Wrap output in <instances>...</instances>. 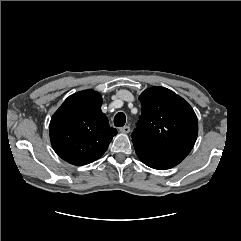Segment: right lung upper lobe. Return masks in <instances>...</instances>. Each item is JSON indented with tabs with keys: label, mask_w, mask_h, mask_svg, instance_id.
Here are the masks:
<instances>
[{
	"label": "right lung upper lobe",
	"mask_w": 241,
	"mask_h": 241,
	"mask_svg": "<svg viewBox=\"0 0 241 241\" xmlns=\"http://www.w3.org/2000/svg\"><path fill=\"white\" fill-rule=\"evenodd\" d=\"M102 97L93 90L69 96L50 122L54 151L70 164L81 166L100 158L107 150L115 128L101 111Z\"/></svg>",
	"instance_id": "obj_1"
}]
</instances>
